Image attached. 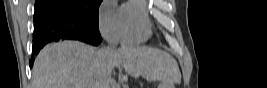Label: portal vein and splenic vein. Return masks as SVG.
Wrapping results in <instances>:
<instances>
[{"label": "portal vein and splenic vein", "instance_id": "18ae733b", "mask_svg": "<svg viewBox=\"0 0 267 88\" xmlns=\"http://www.w3.org/2000/svg\"><path fill=\"white\" fill-rule=\"evenodd\" d=\"M112 88H119V86L116 83H113Z\"/></svg>", "mask_w": 267, "mask_h": 88}]
</instances>
